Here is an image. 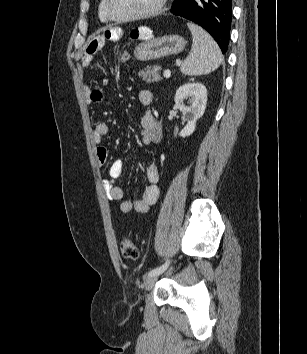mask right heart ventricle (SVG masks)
<instances>
[{"instance_id":"right-heart-ventricle-1","label":"right heart ventricle","mask_w":307,"mask_h":354,"mask_svg":"<svg viewBox=\"0 0 307 354\" xmlns=\"http://www.w3.org/2000/svg\"><path fill=\"white\" fill-rule=\"evenodd\" d=\"M98 15L101 21L108 22L110 20L109 16L106 13L104 0H100L98 5Z\"/></svg>"}]
</instances>
